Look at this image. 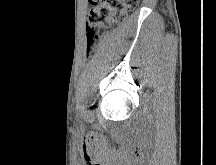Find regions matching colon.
Wrapping results in <instances>:
<instances>
[{"mask_svg":"<svg viewBox=\"0 0 216 165\" xmlns=\"http://www.w3.org/2000/svg\"><path fill=\"white\" fill-rule=\"evenodd\" d=\"M93 6L87 22L88 49L95 43L101 30L124 20L128 11L139 0H89Z\"/></svg>","mask_w":216,"mask_h":165,"instance_id":"colon-1","label":"colon"}]
</instances>
